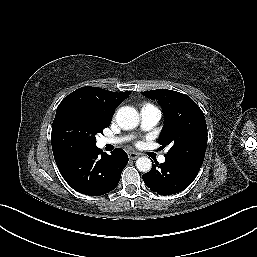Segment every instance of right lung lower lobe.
<instances>
[{"label": "right lung lower lobe", "mask_w": 257, "mask_h": 257, "mask_svg": "<svg viewBox=\"0 0 257 257\" xmlns=\"http://www.w3.org/2000/svg\"><path fill=\"white\" fill-rule=\"evenodd\" d=\"M55 161L61 175L74 190L98 196L115 189L128 155L121 148L108 155L94 147L60 156Z\"/></svg>", "instance_id": "right-lung-lower-lobe-1"}]
</instances>
